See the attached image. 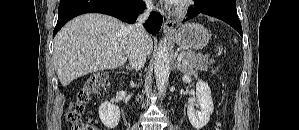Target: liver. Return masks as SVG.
<instances>
[{
  "label": "liver",
  "mask_w": 299,
  "mask_h": 130,
  "mask_svg": "<svg viewBox=\"0 0 299 130\" xmlns=\"http://www.w3.org/2000/svg\"><path fill=\"white\" fill-rule=\"evenodd\" d=\"M144 43L147 55L151 54L148 34ZM129 45V26L114 17L92 13L74 18L54 39L53 64L62 86L88 73L121 67Z\"/></svg>",
  "instance_id": "liver-1"
}]
</instances>
